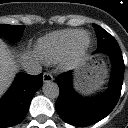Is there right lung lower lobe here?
Returning a JSON list of instances; mask_svg holds the SVG:
<instances>
[{
	"label": "right lung lower lobe",
	"instance_id": "98d812e1",
	"mask_svg": "<svg viewBox=\"0 0 128 128\" xmlns=\"http://www.w3.org/2000/svg\"><path fill=\"white\" fill-rule=\"evenodd\" d=\"M42 75L20 73L0 100V128L17 125L26 116L35 92L42 86Z\"/></svg>",
	"mask_w": 128,
	"mask_h": 128
}]
</instances>
